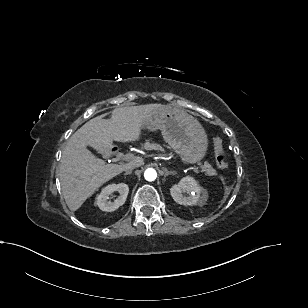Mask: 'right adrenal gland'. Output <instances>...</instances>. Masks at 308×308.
<instances>
[{
	"instance_id": "2a0ac1e0",
	"label": "right adrenal gland",
	"mask_w": 308,
	"mask_h": 308,
	"mask_svg": "<svg viewBox=\"0 0 308 308\" xmlns=\"http://www.w3.org/2000/svg\"><path fill=\"white\" fill-rule=\"evenodd\" d=\"M131 172H126L124 175H128V174H130Z\"/></svg>"
}]
</instances>
